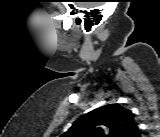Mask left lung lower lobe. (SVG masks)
Segmentation results:
<instances>
[{
  "instance_id": "obj_1",
  "label": "left lung lower lobe",
  "mask_w": 160,
  "mask_h": 137,
  "mask_svg": "<svg viewBox=\"0 0 160 137\" xmlns=\"http://www.w3.org/2000/svg\"><path fill=\"white\" fill-rule=\"evenodd\" d=\"M139 130H138V132L135 134V137H139Z\"/></svg>"
}]
</instances>
